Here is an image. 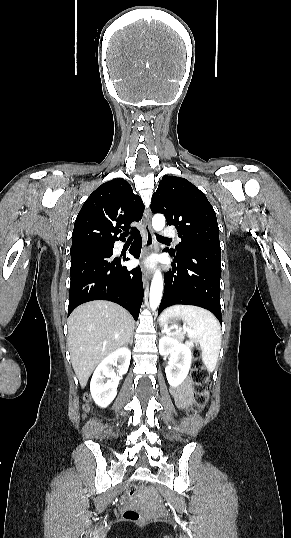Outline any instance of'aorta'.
I'll list each match as a JSON object with an SVG mask.
<instances>
[{
	"instance_id": "obj_1",
	"label": "aorta",
	"mask_w": 291,
	"mask_h": 538,
	"mask_svg": "<svg viewBox=\"0 0 291 538\" xmlns=\"http://www.w3.org/2000/svg\"><path fill=\"white\" fill-rule=\"evenodd\" d=\"M152 226L154 230L161 231L165 226V218L162 214H156L154 215L152 219ZM162 292H163V278L162 274L159 270H157L153 276L151 288H150V307L152 310H155L162 298Z\"/></svg>"
}]
</instances>
